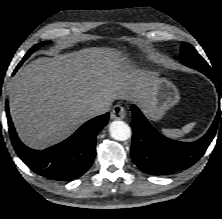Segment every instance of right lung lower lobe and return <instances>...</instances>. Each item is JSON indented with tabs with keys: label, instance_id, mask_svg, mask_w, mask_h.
<instances>
[{
	"label": "right lung lower lobe",
	"instance_id": "1",
	"mask_svg": "<svg viewBox=\"0 0 222 219\" xmlns=\"http://www.w3.org/2000/svg\"><path fill=\"white\" fill-rule=\"evenodd\" d=\"M18 68L17 66L16 70ZM6 113L9 134L18 156L38 175L56 181L74 180L91 167L96 154V135L109 119L108 113L95 117L65 141L39 151L26 147L19 140L11 121L7 102Z\"/></svg>",
	"mask_w": 222,
	"mask_h": 219
}]
</instances>
